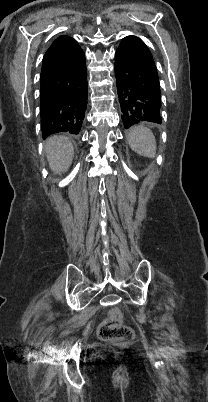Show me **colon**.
Masks as SVG:
<instances>
[{"label": "colon", "instance_id": "colon-1", "mask_svg": "<svg viewBox=\"0 0 208 402\" xmlns=\"http://www.w3.org/2000/svg\"><path fill=\"white\" fill-rule=\"evenodd\" d=\"M112 317L115 318H104L103 323L99 324L98 330L100 338L105 341L131 338V326L129 324H122L118 311H112Z\"/></svg>", "mask_w": 208, "mask_h": 402}]
</instances>
